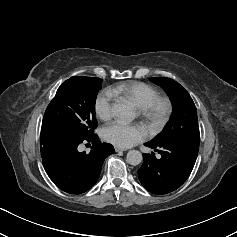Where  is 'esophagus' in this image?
Listing matches in <instances>:
<instances>
[{
  "mask_svg": "<svg viewBox=\"0 0 237 237\" xmlns=\"http://www.w3.org/2000/svg\"><path fill=\"white\" fill-rule=\"evenodd\" d=\"M126 149L120 148V147H116L115 146V151L116 152H120V151H125Z\"/></svg>",
  "mask_w": 237,
  "mask_h": 237,
  "instance_id": "esophagus-1",
  "label": "esophagus"
}]
</instances>
